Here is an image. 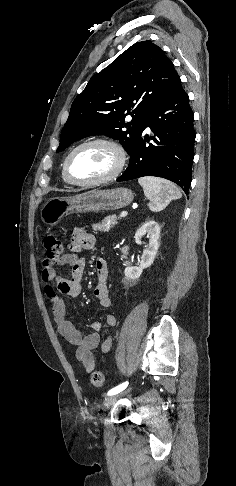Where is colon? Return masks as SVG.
<instances>
[{
	"label": "colon",
	"mask_w": 236,
	"mask_h": 486,
	"mask_svg": "<svg viewBox=\"0 0 236 486\" xmlns=\"http://www.w3.org/2000/svg\"><path fill=\"white\" fill-rule=\"evenodd\" d=\"M43 246L46 251L47 260L57 261L64 252V242L55 234H48L43 239ZM91 383L96 388L104 386V376L99 370H96L91 375Z\"/></svg>",
	"instance_id": "colon-1"
}]
</instances>
